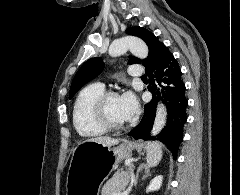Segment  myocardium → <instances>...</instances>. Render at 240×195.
<instances>
[{
	"instance_id": "obj_1",
	"label": "myocardium",
	"mask_w": 240,
	"mask_h": 195,
	"mask_svg": "<svg viewBox=\"0 0 240 195\" xmlns=\"http://www.w3.org/2000/svg\"><path fill=\"white\" fill-rule=\"evenodd\" d=\"M119 97V94L114 91H107L101 94L94 105V116L96 121L106 130L109 131H121L126 130L130 127L126 123L114 122L108 111V105L112 98Z\"/></svg>"
}]
</instances>
